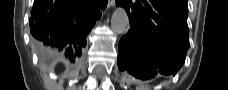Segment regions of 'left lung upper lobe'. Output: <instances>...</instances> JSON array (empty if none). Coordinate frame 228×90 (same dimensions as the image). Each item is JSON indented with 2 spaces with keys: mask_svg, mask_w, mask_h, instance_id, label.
Wrapping results in <instances>:
<instances>
[{
  "mask_svg": "<svg viewBox=\"0 0 228 90\" xmlns=\"http://www.w3.org/2000/svg\"><path fill=\"white\" fill-rule=\"evenodd\" d=\"M184 9H185V10H188V6H187V4L184 6Z\"/></svg>",
  "mask_w": 228,
  "mask_h": 90,
  "instance_id": "5c2ea615",
  "label": "left lung upper lobe"
}]
</instances>
